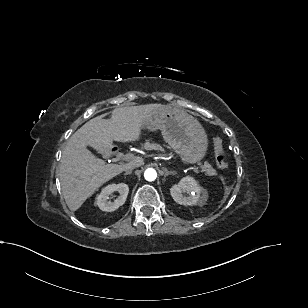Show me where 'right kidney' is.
<instances>
[{"label": "right kidney", "mask_w": 308, "mask_h": 308, "mask_svg": "<svg viewBox=\"0 0 308 308\" xmlns=\"http://www.w3.org/2000/svg\"><path fill=\"white\" fill-rule=\"evenodd\" d=\"M115 191H118L120 194L118 198H116L114 202L108 201L109 195ZM128 192H129V187L125 183L110 184L104 187L101 193L97 196L96 204L102 211L106 212L115 211L125 203Z\"/></svg>", "instance_id": "1"}]
</instances>
